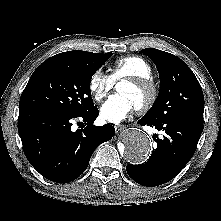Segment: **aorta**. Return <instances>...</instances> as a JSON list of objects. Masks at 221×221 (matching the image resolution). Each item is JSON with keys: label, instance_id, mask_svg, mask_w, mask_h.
<instances>
[{"label": "aorta", "instance_id": "obj_1", "mask_svg": "<svg viewBox=\"0 0 221 221\" xmlns=\"http://www.w3.org/2000/svg\"><path fill=\"white\" fill-rule=\"evenodd\" d=\"M124 149L122 155L133 164L145 162L151 154L149 136L141 130L130 129L123 137Z\"/></svg>", "mask_w": 221, "mask_h": 221}]
</instances>
